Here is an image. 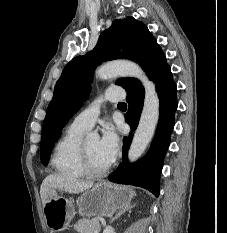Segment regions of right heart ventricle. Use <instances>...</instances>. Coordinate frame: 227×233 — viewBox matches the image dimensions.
<instances>
[{
  "label": "right heart ventricle",
  "mask_w": 227,
  "mask_h": 233,
  "mask_svg": "<svg viewBox=\"0 0 227 233\" xmlns=\"http://www.w3.org/2000/svg\"><path fill=\"white\" fill-rule=\"evenodd\" d=\"M85 130L70 125L55 145L51 164L62 177L79 179L86 174L80 162V147Z\"/></svg>",
  "instance_id": "obj_1"
}]
</instances>
